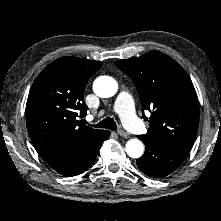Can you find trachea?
Wrapping results in <instances>:
<instances>
[{
    "mask_svg": "<svg viewBox=\"0 0 221 221\" xmlns=\"http://www.w3.org/2000/svg\"><path fill=\"white\" fill-rule=\"evenodd\" d=\"M94 127L106 128V129H110V130H113V131H115L117 129V125H116L115 121L112 118H109V117L103 119L101 122L94 125Z\"/></svg>",
    "mask_w": 221,
    "mask_h": 221,
    "instance_id": "1",
    "label": "trachea"
}]
</instances>
